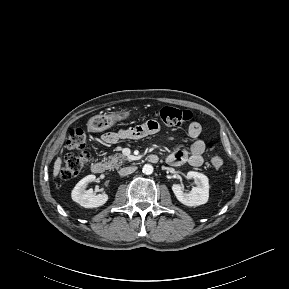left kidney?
Wrapping results in <instances>:
<instances>
[{
    "mask_svg": "<svg viewBox=\"0 0 289 289\" xmlns=\"http://www.w3.org/2000/svg\"><path fill=\"white\" fill-rule=\"evenodd\" d=\"M189 179H194L196 187H193L189 193L183 192V187L179 184H173L172 190L176 198L186 206H199L205 204L209 198V181L207 176L202 173L190 171L187 173Z\"/></svg>",
    "mask_w": 289,
    "mask_h": 289,
    "instance_id": "5707ae66",
    "label": "left kidney"
}]
</instances>
